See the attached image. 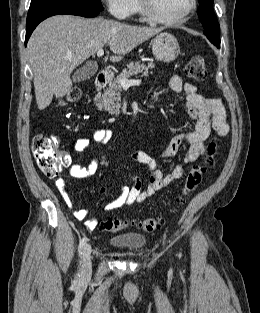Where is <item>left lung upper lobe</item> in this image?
Listing matches in <instances>:
<instances>
[{
  "instance_id": "5c2ea615",
  "label": "left lung upper lobe",
  "mask_w": 260,
  "mask_h": 313,
  "mask_svg": "<svg viewBox=\"0 0 260 313\" xmlns=\"http://www.w3.org/2000/svg\"><path fill=\"white\" fill-rule=\"evenodd\" d=\"M200 3V8L198 11V16L204 27V34L214 45L219 47V24L216 15L213 11L214 0H198Z\"/></svg>"
}]
</instances>
